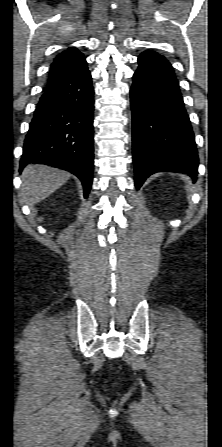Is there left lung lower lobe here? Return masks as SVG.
Here are the masks:
<instances>
[{"instance_id":"obj_1","label":"left lung lower lobe","mask_w":222,"mask_h":447,"mask_svg":"<svg viewBox=\"0 0 222 447\" xmlns=\"http://www.w3.org/2000/svg\"><path fill=\"white\" fill-rule=\"evenodd\" d=\"M130 91L135 185L156 172H178L195 179L198 155L194 134L171 64L145 51Z\"/></svg>"}]
</instances>
